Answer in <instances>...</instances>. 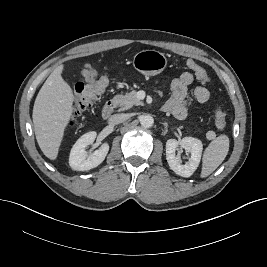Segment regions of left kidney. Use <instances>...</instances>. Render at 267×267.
<instances>
[{"label": "left kidney", "mask_w": 267, "mask_h": 267, "mask_svg": "<svg viewBox=\"0 0 267 267\" xmlns=\"http://www.w3.org/2000/svg\"><path fill=\"white\" fill-rule=\"evenodd\" d=\"M190 153V158L184 164L180 156H176L178 148ZM203 150L202 142L193 137H184L181 141L169 139L166 142V159L171 170L182 177H190L199 166Z\"/></svg>", "instance_id": "left-kidney-1"}]
</instances>
